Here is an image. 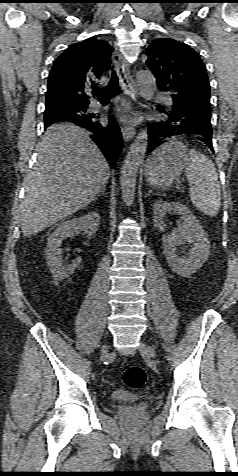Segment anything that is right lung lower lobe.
Masks as SVG:
<instances>
[{
  "mask_svg": "<svg viewBox=\"0 0 238 476\" xmlns=\"http://www.w3.org/2000/svg\"><path fill=\"white\" fill-rule=\"evenodd\" d=\"M70 122L93 133L92 140L103 152L111 167H114L123 145L122 135L116 121L110 117L109 124L104 126L96 120V116L91 115ZM49 125L45 123L44 128L46 129Z\"/></svg>",
  "mask_w": 238,
  "mask_h": 476,
  "instance_id": "right-lung-lower-lobe-1",
  "label": "right lung lower lobe"
}]
</instances>
